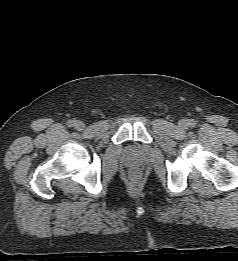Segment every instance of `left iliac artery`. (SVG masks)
Listing matches in <instances>:
<instances>
[{
    "label": "left iliac artery",
    "instance_id": "1",
    "mask_svg": "<svg viewBox=\"0 0 238 261\" xmlns=\"http://www.w3.org/2000/svg\"><path fill=\"white\" fill-rule=\"evenodd\" d=\"M189 125H190L191 127H194V126L196 125V123H195L194 120H190V121H189Z\"/></svg>",
    "mask_w": 238,
    "mask_h": 261
}]
</instances>
